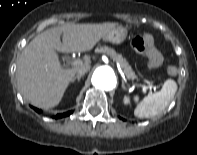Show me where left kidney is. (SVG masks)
<instances>
[{"label": "left kidney", "instance_id": "left-kidney-1", "mask_svg": "<svg viewBox=\"0 0 197 155\" xmlns=\"http://www.w3.org/2000/svg\"><path fill=\"white\" fill-rule=\"evenodd\" d=\"M123 102L125 105L130 104V98L128 96H124Z\"/></svg>", "mask_w": 197, "mask_h": 155}]
</instances>
